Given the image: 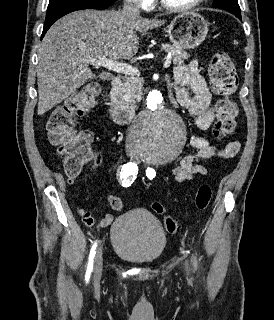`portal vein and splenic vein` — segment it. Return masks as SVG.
Here are the masks:
<instances>
[{
  "instance_id": "obj_1",
  "label": "portal vein and splenic vein",
  "mask_w": 274,
  "mask_h": 320,
  "mask_svg": "<svg viewBox=\"0 0 274 320\" xmlns=\"http://www.w3.org/2000/svg\"><path fill=\"white\" fill-rule=\"evenodd\" d=\"M87 64H92V66H103L107 70H113V72H119V74H127V76H138L140 74L138 68H133V66H128V64H121V62H115V60H110L107 56H98V58H88V60H83ZM171 64V58L165 60L163 66L164 68H169Z\"/></svg>"
}]
</instances>
